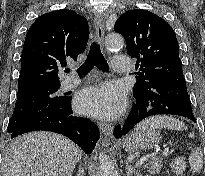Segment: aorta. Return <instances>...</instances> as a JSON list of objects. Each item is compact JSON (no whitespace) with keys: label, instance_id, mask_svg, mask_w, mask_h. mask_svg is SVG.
Instances as JSON below:
<instances>
[{"label":"aorta","instance_id":"obj_1","mask_svg":"<svg viewBox=\"0 0 205 176\" xmlns=\"http://www.w3.org/2000/svg\"><path fill=\"white\" fill-rule=\"evenodd\" d=\"M105 45L109 50L121 49L124 39L119 34L110 33L105 37ZM99 164L101 176H116L114 166L106 154L100 153Z\"/></svg>","mask_w":205,"mask_h":176}]
</instances>
